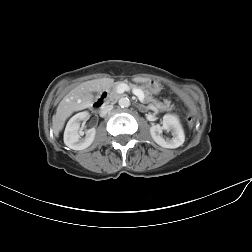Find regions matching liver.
I'll list each match as a JSON object with an SVG mask.
<instances>
[{"label": "liver", "instance_id": "6515ba94", "mask_svg": "<svg viewBox=\"0 0 252 252\" xmlns=\"http://www.w3.org/2000/svg\"><path fill=\"white\" fill-rule=\"evenodd\" d=\"M138 81H143L138 79ZM114 84L111 78H102L86 81L73 90L59 103L57 112L53 116V132L58 137L60 130L67 117L72 112L84 109L93 102L92 92H99L110 89Z\"/></svg>", "mask_w": 252, "mask_h": 252}]
</instances>
